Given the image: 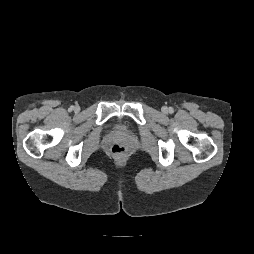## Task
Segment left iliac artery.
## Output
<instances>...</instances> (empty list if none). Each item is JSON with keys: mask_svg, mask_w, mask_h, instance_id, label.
Segmentation results:
<instances>
[{"mask_svg": "<svg viewBox=\"0 0 254 254\" xmlns=\"http://www.w3.org/2000/svg\"><path fill=\"white\" fill-rule=\"evenodd\" d=\"M174 109L172 107H169V113H173Z\"/></svg>", "mask_w": 254, "mask_h": 254, "instance_id": "obj_1", "label": "left iliac artery"}]
</instances>
